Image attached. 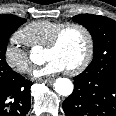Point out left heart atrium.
<instances>
[{
    "label": "left heart atrium",
    "instance_id": "left-heart-atrium-1",
    "mask_svg": "<svg viewBox=\"0 0 116 116\" xmlns=\"http://www.w3.org/2000/svg\"><path fill=\"white\" fill-rule=\"evenodd\" d=\"M65 70V66L60 61L56 59H48L41 68L34 71L33 76L36 78H40L43 76L60 73Z\"/></svg>",
    "mask_w": 116,
    "mask_h": 116
}]
</instances>
